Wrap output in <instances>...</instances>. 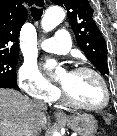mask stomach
Instances as JSON below:
<instances>
[{"instance_id": "obj_1", "label": "stomach", "mask_w": 117, "mask_h": 136, "mask_svg": "<svg viewBox=\"0 0 117 136\" xmlns=\"http://www.w3.org/2000/svg\"><path fill=\"white\" fill-rule=\"evenodd\" d=\"M65 122L70 129L80 136H93L97 131V121L90 114H76L68 117Z\"/></svg>"}]
</instances>
